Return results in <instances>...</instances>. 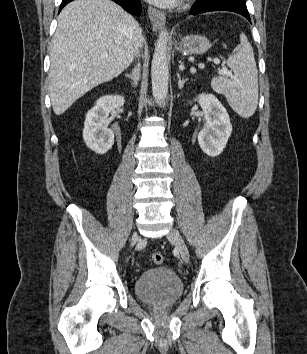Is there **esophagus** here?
I'll return each mask as SVG.
<instances>
[{
	"label": "esophagus",
	"instance_id": "esophagus-1",
	"mask_svg": "<svg viewBox=\"0 0 307 354\" xmlns=\"http://www.w3.org/2000/svg\"><path fill=\"white\" fill-rule=\"evenodd\" d=\"M148 16L152 22L153 30L157 32L165 24L166 16L165 13L161 10H158L154 7H148Z\"/></svg>",
	"mask_w": 307,
	"mask_h": 354
}]
</instances>
